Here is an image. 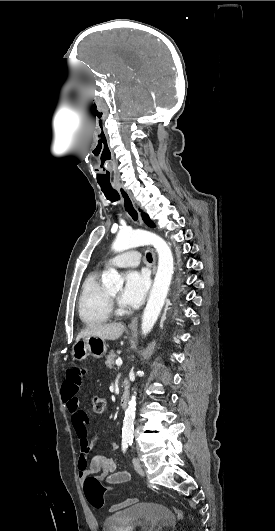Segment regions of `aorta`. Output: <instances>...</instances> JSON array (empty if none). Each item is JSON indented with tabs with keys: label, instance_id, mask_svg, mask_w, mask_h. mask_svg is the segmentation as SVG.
Segmentation results:
<instances>
[{
	"label": "aorta",
	"instance_id": "762f6f07",
	"mask_svg": "<svg viewBox=\"0 0 275 531\" xmlns=\"http://www.w3.org/2000/svg\"><path fill=\"white\" fill-rule=\"evenodd\" d=\"M142 243L146 245H153L158 255V269L155 275L152 291L149 295L148 303L142 315L141 331L142 335L146 337L152 331L161 309L164 307L165 299L168 295L169 287L171 285L174 273V259L170 247L165 243L164 239L154 235V233H147V231H130V229H121L116 235L115 241L112 243L113 251L116 253H123L127 249L133 247H140ZM123 279L116 269H109L107 275L103 279V285L108 291H119L123 287ZM136 411V395H133L128 407L125 411V417L122 427V437H133L134 433V419Z\"/></svg>",
	"mask_w": 275,
	"mask_h": 531
}]
</instances>
